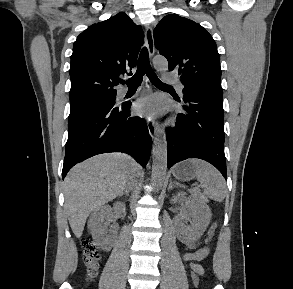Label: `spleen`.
I'll return each mask as SVG.
<instances>
[{"label":"spleen","instance_id":"3e777b00","mask_svg":"<svg viewBox=\"0 0 293 289\" xmlns=\"http://www.w3.org/2000/svg\"><path fill=\"white\" fill-rule=\"evenodd\" d=\"M195 170L197 180L204 185V194L215 201L224 200L227 188L222 175L211 164L200 160H191Z\"/></svg>","mask_w":293,"mask_h":289}]
</instances>
